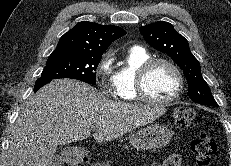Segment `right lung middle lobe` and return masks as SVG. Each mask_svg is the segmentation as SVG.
<instances>
[{"instance_id":"dd1d6c3e","label":"right lung middle lobe","mask_w":231,"mask_h":166,"mask_svg":"<svg viewBox=\"0 0 231 166\" xmlns=\"http://www.w3.org/2000/svg\"><path fill=\"white\" fill-rule=\"evenodd\" d=\"M102 55L80 53L73 50H55L46 62L42 78L77 79L88 84H96V69Z\"/></svg>"}]
</instances>
